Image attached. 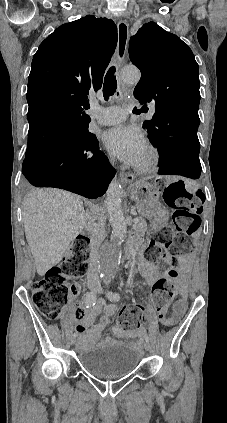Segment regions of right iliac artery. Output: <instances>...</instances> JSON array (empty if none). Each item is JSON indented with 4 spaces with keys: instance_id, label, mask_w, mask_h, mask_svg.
Returning <instances> with one entry per match:
<instances>
[{
    "instance_id": "right-iliac-artery-1",
    "label": "right iliac artery",
    "mask_w": 227,
    "mask_h": 423,
    "mask_svg": "<svg viewBox=\"0 0 227 423\" xmlns=\"http://www.w3.org/2000/svg\"><path fill=\"white\" fill-rule=\"evenodd\" d=\"M97 300V295L95 292H87L85 293L84 305L86 308H90L91 306L95 305ZM74 337H77V333L73 334Z\"/></svg>"
}]
</instances>
